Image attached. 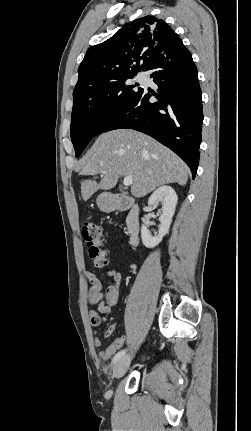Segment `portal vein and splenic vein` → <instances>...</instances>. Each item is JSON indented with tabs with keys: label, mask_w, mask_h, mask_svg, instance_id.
<instances>
[{
	"label": "portal vein and splenic vein",
	"mask_w": 251,
	"mask_h": 431,
	"mask_svg": "<svg viewBox=\"0 0 251 431\" xmlns=\"http://www.w3.org/2000/svg\"><path fill=\"white\" fill-rule=\"evenodd\" d=\"M102 173H104V172H102ZM132 183H133V178L131 176H127L123 180V184L125 186H130V185H132Z\"/></svg>",
	"instance_id": "1"
}]
</instances>
